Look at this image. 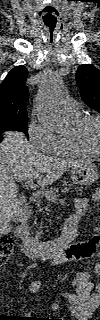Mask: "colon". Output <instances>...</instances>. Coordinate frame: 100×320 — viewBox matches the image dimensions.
<instances>
[{
  "mask_svg": "<svg viewBox=\"0 0 100 320\" xmlns=\"http://www.w3.org/2000/svg\"><path fill=\"white\" fill-rule=\"evenodd\" d=\"M98 240L99 239L97 236L92 237L91 239H89L88 241H86L83 244V247H85L84 252H82L78 255L72 251L68 254V259L73 260V259L77 258L78 256H80V258H87V257L92 256L96 250L97 245H98ZM13 244H14V241L11 236L6 235L1 238L0 263L2 265H4L6 263L8 257L11 255V253L13 251ZM53 320H61V319H53Z\"/></svg>",
  "mask_w": 100,
  "mask_h": 320,
  "instance_id": "obj_1",
  "label": "colon"
}]
</instances>
